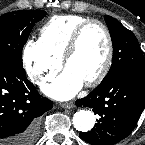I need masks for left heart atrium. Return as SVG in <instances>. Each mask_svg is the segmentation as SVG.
I'll return each mask as SVG.
<instances>
[{
  "mask_svg": "<svg viewBox=\"0 0 145 145\" xmlns=\"http://www.w3.org/2000/svg\"><path fill=\"white\" fill-rule=\"evenodd\" d=\"M83 83L76 73L66 68L56 80L44 87V91L55 99L65 100L74 96Z\"/></svg>",
  "mask_w": 145,
  "mask_h": 145,
  "instance_id": "obj_1",
  "label": "left heart atrium"
}]
</instances>
